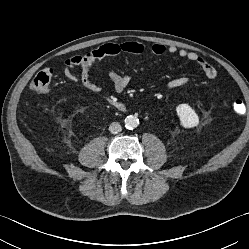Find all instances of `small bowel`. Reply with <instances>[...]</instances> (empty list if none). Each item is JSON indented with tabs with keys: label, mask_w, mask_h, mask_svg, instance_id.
Returning <instances> with one entry per match:
<instances>
[{
	"label": "small bowel",
	"mask_w": 249,
	"mask_h": 249,
	"mask_svg": "<svg viewBox=\"0 0 249 249\" xmlns=\"http://www.w3.org/2000/svg\"><path fill=\"white\" fill-rule=\"evenodd\" d=\"M145 51V46L137 41L104 43L84 56H74L66 60L63 74L68 80L73 82L80 81L89 91L99 93L102 90L101 87L90 78L91 70L97 62L106 60L110 63L114 57L123 54L141 56ZM150 52L156 56L168 53L192 61L199 65L205 76L209 79H213L217 75L216 69L196 52L180 49L176 46L167 47L160 43L153 44L150 47ZM76 67L80 68L79 72L76 71ZM108 74L112 86L117 93H122L130 83V74L119 73L112 66H109ZM190 81L191 79L187 76L177 77L170 80L166 88L168 90L179 89L187 86Z\"/></svg>",
	"instance_id": "c3829d8e"
}]
</instances>
